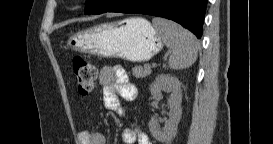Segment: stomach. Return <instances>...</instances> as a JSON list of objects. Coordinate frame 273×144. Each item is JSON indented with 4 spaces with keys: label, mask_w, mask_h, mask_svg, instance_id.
<instances>
[{
    "label": "stomach",
    "mask_w": 273,
    "mask_h": 144,
    "mask_svg": "<svg viewBox=\"0 0 273 144\" xmlns=\"http://www.w3.org/2000/svg\"><path fill=\"white\" fill-rule=\"evenodd\" d=\"M66 47L104 58L145 62L161 51L163 41L146 19L130 17L79 31L67 39Z\"/></svg>",
    "instance_id": "0dacf381"
}]
</instances>
